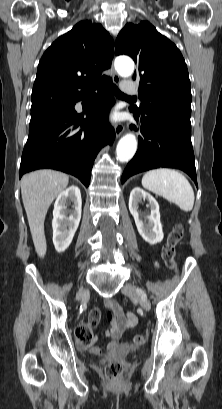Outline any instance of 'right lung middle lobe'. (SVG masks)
<instances>
[{"label":"right lung middle lobe","mask_w":222,"mask_h":409,"mask_svg":"<svg viewBox=\"0 0 222 409\" xmlns=\"http://www.w3.org/2000/svg\"><path fill=\"white\" fill-rule=\"evenodd\" d=\"M50 106H38V107H32L31 108V115L40 113L44 110H46L47 108H49Z\"/></svg>","instance_id":"right-lung-middle-lobe-1"}]
</instances>
